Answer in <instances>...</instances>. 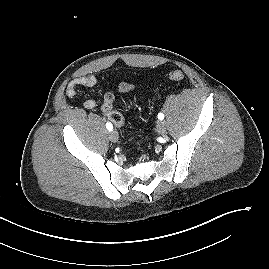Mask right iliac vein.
<instances>
[{
	"mask_svg": "<svg viewBox=\"0 0 269 269\" xmlns=\"http://www.w3.org/2000/svg\"><path fill=\"white\" fill-rule=\"evenodd\" d=\"M108 136H109L110 141H112L114 143L118 141L119 136H118L117 131H115V130L110 131L108 133Z\"/></svg>",
	"mask_w": 269,
	"mask_h": 269,
	"instance_id": "right-iliac-vein-1",
	"label": "right iliac vein"
}]
</instances>
